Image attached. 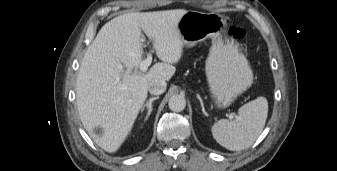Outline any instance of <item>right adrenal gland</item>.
Masks as SVG:
<instances>
[{
    "label": "right adrenal gland",
    "instance_id": "obj_1",
    "mask_svg": "<svg viewBox=\"0 0 337 171\" xmlns=\"http://www.w3.org/2000/svg\"><path fill=\"white\" fill-rule=\"evenodd\" d=\"M159 98V96H156V97H152L149 99V101H147L143 106H142V109H141V112H143L145 110V108H147V114H146V117L144 119V121H146L148 119V117L150 116L151 112H152V102L154 100H157Z\"/></svg>",
    "mask_w": 337,
    "mask_h": 171
}]
</instances>
